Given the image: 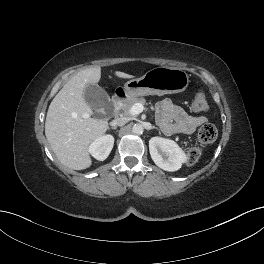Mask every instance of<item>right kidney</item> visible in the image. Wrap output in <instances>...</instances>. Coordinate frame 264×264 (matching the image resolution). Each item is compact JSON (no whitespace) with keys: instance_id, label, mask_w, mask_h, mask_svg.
Wrapping results in <instances>:
<instances>
[{"instance_id":"obj_1","label":"right kidney","mask_w":264,"mask_h":264,"mask_svg":"<svg viewBox=\"0 0 264 264\" xmlns=\"http://www.w3.org/2000/svg\"><path fill=\"white\" fill-rule=\"evenodd\" d=\"M114 145V137L112 135H104L95 139L89 146V153L97 160H105Z\"/></svg>"}]
</instances>
